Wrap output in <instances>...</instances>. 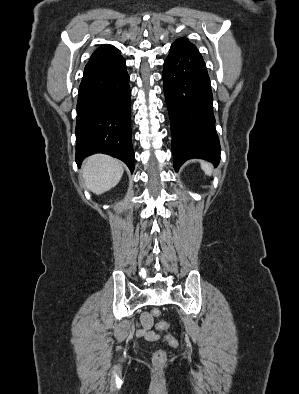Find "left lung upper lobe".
Here are the masks:
<instances>
[{"instance_id":"left-lung-upper-lobe-1","label":"left lung upper lobe","mask_w":299,"mask_h":394,"mask_svg":"<svg viewBox=\"0 0 299 394\" xmlns=\"http://www.w3.org/2000/svg\"><path fill=\"white\" fill-rule=\"evenodd\" d=\"M173 46H185V47H194L193 44H191L186 38H179L177 41H175Z\"/></svg>"}]
</instances>
